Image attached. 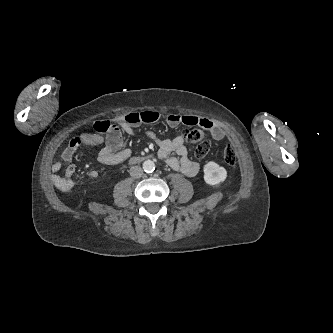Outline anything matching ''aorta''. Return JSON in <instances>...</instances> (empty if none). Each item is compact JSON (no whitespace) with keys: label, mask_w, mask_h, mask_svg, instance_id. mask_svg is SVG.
<instances>
[{"label":"aorta","mask_w":333,"mask_h":333,"mask_svg":"<svg viewBox=\"0 0 333 333\" xmlns=\"http://www.w3.org/2000/svg\"><path fill=\"white\" fill-rule=\"evenodd\" d=\"M142 166L146 173H152L155 170V163L149 159L145 160Z\"/></svg>","instance_id":"1"}]
</instances>
